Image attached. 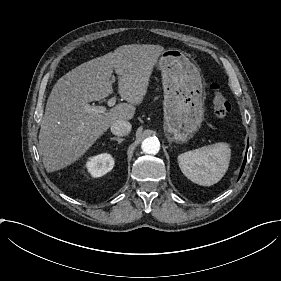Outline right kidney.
<instances>
[{
  "instance_id": "obj_1",
  "label": "right kidney",
  "mask_w": 281,
  "mask_h": 281,
  "mask_svg": "<svg viewBox=\"0 0 281 281\" xmlns=\"http://www.w3.org/2000/svg\"><path fill=\"white\" fill-rule=\"evenodd\" d=\"M85 166L92 177L98 178L112 170L114 159L110 154L102 153L89 157Z\"/></svg>"
}]
</instances>
